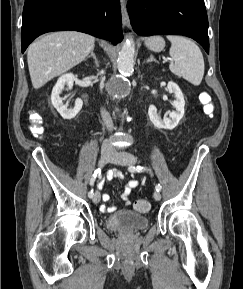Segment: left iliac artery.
Instances as JSON below:
<instances>
[{
	"label": "left iliac artery",
	"instance_id": "obj_1",
	"mask_svg": "<svg viewBox=\"0 0 243 289\" xmlns=\"http://www.w3.org/2000/svg\"><path fill=\"white\" fill-rule=\"evenodd\" d=\"M129 170L130 171H137V172H142V171H145V170H147L145 167H142V166H137V167H134V166H131V167H129ZM161 185L160 184H157L156 186H155V189H156V191H158V192H160L161 191Z\"/></svg>",
	"mask_w": 243,
	"mask_h": 289
}]
</instances>
